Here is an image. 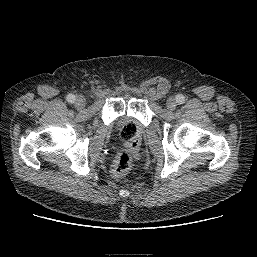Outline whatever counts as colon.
Wrapping results in <instances>:
<instances>
[{
	"label": "colon",
	"instance_id": "colon-1",
	"mask_svg": "<svg viewBox=\"0 0 257 257\" xmlns=\"http://www.w3.org/2000/svg\"><path fill=\"white\" fill-rule=\"evenodd\" d=\"M120 135L126 145L117 154L112 171L116 176L124 175L137 157V125L133 121L120 123Z\"/></svg>",
	"mask_w": 257,
	"mask_h": 257
}]
</instances>
